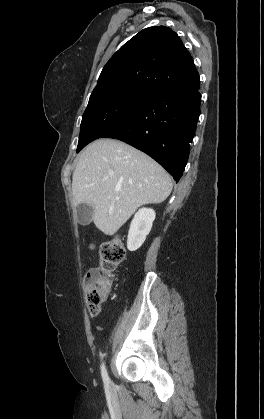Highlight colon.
<instances>
[{
    "label": "colon",
    "instance_id": "1",
    "mask_svg": "<svg viewBox=\"0 0 264 419\" xmlns=\"http://www.w3.org/2000/svg\"><path fill=\"white\" fill-rule=\"evenodd\" d=\"M125 248L117 238L100 247V268L87 273L84 281L87 306L90 314L96 316L111 290V273L123 262Z\"/></svg>",
    "mask_w": 264,
    "mask_h": 419
}]
</instances>
